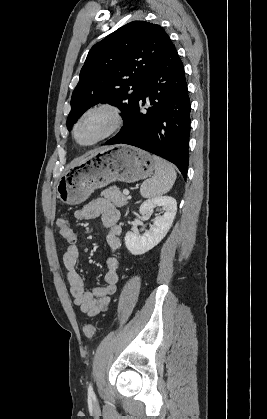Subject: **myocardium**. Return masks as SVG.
Returning <instances> with one entry per match:
<instances>
[{
	"mask_svg": "<svg viewBox=\"0 0 267 419\" xmlns=\"http://www.w3.org/2000/svg\"><path fill=\"white\" fill-rule=\"evenodd\" d=\"M96 112L106 113L110 119V124L108 128L104 131V133H102L99 137H97L96 139H94L93 141L89 143H82L78 138L79 127L89 115ZM123 123H124V116H123L122 110L117 105L111 102L96 103L89 106L81 113V115L79 116V118L77 119L75 123L73 136H74L75 141L81 146H84V147L94 146L110 138L115 133H117L123 126Z\"/></svg>",
	"mask_w": 267,
	"mask_h": 419,
	"instance_id": "f54148a6",
	"label": "myocardium"
}]
</instances>
